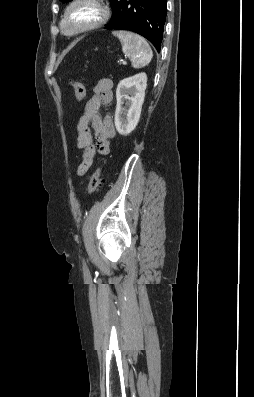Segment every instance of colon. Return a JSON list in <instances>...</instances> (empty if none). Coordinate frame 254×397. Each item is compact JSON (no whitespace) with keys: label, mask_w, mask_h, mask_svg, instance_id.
<instances>
[{"label":"colon","mask_w":254,"mask_h":397,"mask_svg":"<svg viewBox=\"0 0 254 397\" xmlns=\"http://www.w3.org/2000/svg\"><path fill=\"white\" fill-rule=\"evenodd\" d=\"M69 84L74 90L75 100L78 102L82 101L86 94L84 85L75 79H70ZM101 184H102L101 167H98L91 176L88 186V192L90 194L95 193L100 188Z\"/></svg>","instance_id":"obj_1"}]
</instances>
